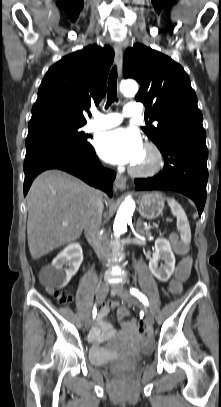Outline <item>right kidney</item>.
Returning a JSON list of instances; mask_svg holds the SVG:
<instances>
[{"instance_id": "obj_1", "label": "right kidney", "mask_w": 221, "mask_h": 407, "mask_svg": "<svg viewBox=\"0 0 221 407\" xmlns=\"http://www.w3.org/2000/svg\"><path fill=\"white\" fill-rule=\"evenodd\" d=\"M82 261V248L78 243L66 246L52 261L54 268L50 276L52 283L60 288L65 287L77 273ZM64 265L68 268L64 269Z\"/></svg>"}]
</instances>
